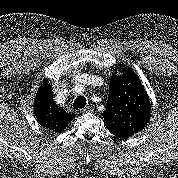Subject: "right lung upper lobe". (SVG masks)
I'll use <instances>...</instances> for the list:
<instances>
[{
    "instance_id": "obj_1",
    "label": "right lung upper lobe",
    "mask_w": 178,
    "mask_h": 178,
    "mask_svg": "<svg viewBox=\"0 0 178 178\" xmlns=\"http://www.w3.org/2000/svg\"><path fill=\"white\" fill-rule=\"evenodd\" d=\"M34 113L42 126L54 132H61L75 118L56 105L48 80H44L36 94Z\"/></svg>"
}]
</instances>
